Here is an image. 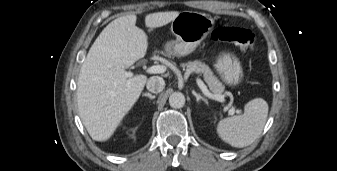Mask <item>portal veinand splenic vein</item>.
Returning a JSON list of instances; mask_svg holds the SVG:
<instances>
[{"instance_id": "obj_1", "label": "portal vein and splenic vein", "mask_w": 337, "mask_h": 171, "mask_svg": "<svg viewBox=\"0 0 337 171\" xmlns=\"http://www.w3.org/2000/svg\"><path fill=\"white\" fill-rule=\"evenodd\" d=\"M166 71V67L164 65H154L151 66L149 68H147L146 72L149 74H160V73H164ZM125 75L129 78H131L133 76V74L131 72H125ZM197 84L200 87V89L202 90V92L204 93L205 96H207L208 98H211L213 100L219 101V102H224V95L221 94H212L207 86L204 84V82L197 78ZM128 85H130V80L128 81ZM231 95V94H229ZM229 115H234L235 113H241V110H236L235 108H230L229 109Z\"/></svg>"}]
</instances>
